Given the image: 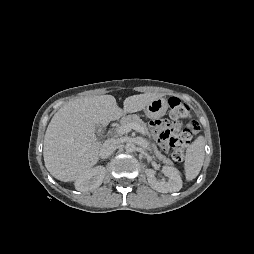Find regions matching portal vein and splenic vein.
Listing matches in <instances>:
<instances>
[{
  "instance_id": "portal-vein-and-splenic-vein-1",
  "label": "portal vein and splenic vein",
  "mask_w": 254,
  "mask_h": 254,
  "mask_svg": "<svg viewBox=\"0 0 254 254\" xmlns=\"http://www.w3.org/2000/svg\"><path fill=\"white\" fill-rule=\"evenodd\" d=\"M136 130L137 132H140L142 134H144V130L136 123H129V124H125L121 127H119L116 131L118 134H125L130 132L131 130Z\"/></svg>"
}]
</instances>
